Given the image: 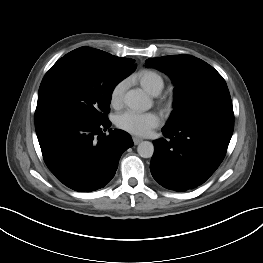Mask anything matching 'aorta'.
<instances>
[{"label": "aorta", "instance_id": "aorta-1", "mask_svg": "<svg viewBox=\"0 0 263 263\" xmlns=\"http://www.w3.org/2000/svg\"><path fill=\"white\" fill-rule=\"evenodd\" d=\"M124 103L135 111H146L151 107L150 99L139 90H129L124 96ZM138 154L143 158H151L154 154L152 142L143 141L137 147Z\"/></svg>", "mask_w": 263, "mask_h": 263}]
</instances>
